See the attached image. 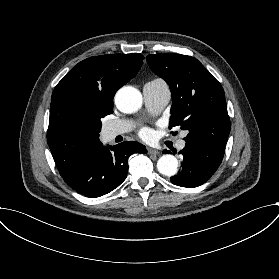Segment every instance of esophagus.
Masks as SVG:
<instances>
[{"instance_id": "esophagus-1", "label": "esophagus", "mask_w": 279, "mask_h": 279, "mask_svg": "<svg viewBox=\"0 0 279 279\" xmlns=\"http://www.w3.org/2000/svg\"><path fill=\"white\" fill-rule=\"evenodd\" d=\"M159 154V152L153 148H148V155L156 157Z\"/></svg>"}]
</instances>
